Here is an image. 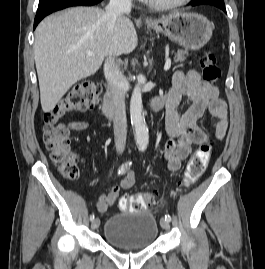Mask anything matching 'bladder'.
I'll use <instances>...</instances> for the list:
<instances>
[{"instance_id":"bladder-1","label":"bladder","mask_w":265,"mask_h":269,"mask_svg":"<svg viewBox=\"0 0 265 269\" xmlns=\"http://www.w3.org/2000/svg\"><path fill=\"white\" fill-rule=\"evenodd\" d=\"M157 236V220L149 210L113 214L104 226L105 240L124 250L148 248L155 243Z\"/></svg>"}]
</instances>
